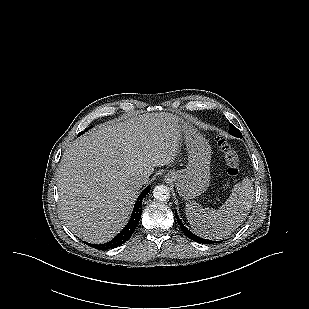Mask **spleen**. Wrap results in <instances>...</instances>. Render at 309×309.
Listing matches in <instances>:
<instances>
[{
    "label": "spleen",
    "mask_w": 309,
    "mask_h": 309,
    "mask_svg": "<svg viewBox=\"0 0 309 309\" xmlns=\"http://www.w3.org/2000/svg\"><path fill=\"white\" fill-rule=\"evenodd\" d=\"M253 199L252 183L245 178L234 185L231 195L220 209L201 208L187 203L185 213L196 234L218 240L230 235L242 224L249 214Z\"/></svg>",
    "instance_id": "1"
}]
</instances>
